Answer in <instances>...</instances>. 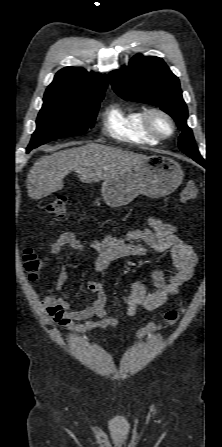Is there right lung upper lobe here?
I'll return each instance as SVG.
<instances>
[{
	"label": "right lung upper lobe",
	"mask_w": 222,
	"mask_h": 447,
	"mask_svg": "<svg viewBox=\"0 0 222 447\" xmlns=\"http://www.w3.org/2000/svg\"><path fill=\"white\" fill-rule=\"evenodd\" d=\"M108 79L80 67H65L54 77L46 92H60L78 97L104 95Z\"/></svg>",
	"instance_id": "cb5924a9"
}]
</instances>
